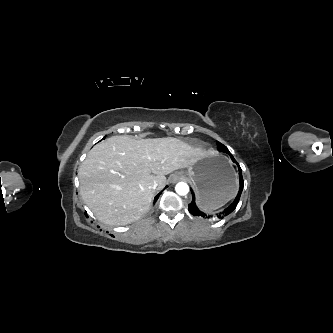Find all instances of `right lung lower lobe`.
I'll use <instances>...</instances> for the list:
<instances>
[{
  "mask_svg": "<svg viewBox=\"0 0 333 333\" xmlns=\"http://www.w3.org/2000/svg\"><path fill=\"white\" fill-rule=\"evenodd\" d=\"M160 194H161V192L154 198V201H156L158 199Z\"/></svg>",
  "mask_w": 333,
  "mask_h": 333,
  "instance_id": "obj_1",
  "label": "right lung lower lobe"
}]
</instances>
